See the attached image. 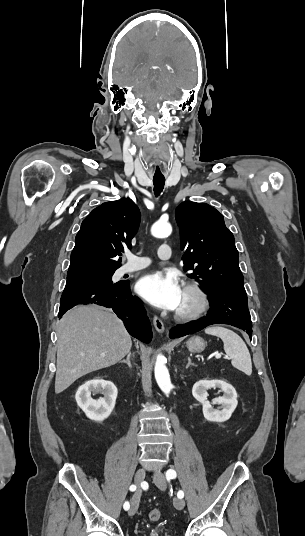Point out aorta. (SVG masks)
I'll list each match as a JSON object with an SVG mask.
<instances>
[{
    "mask_svg": "<svg viewBox=\"0 0 305 536\" xmlns=\"http://www.w3.org/2000/svg\"><path fill=\"white\" fill-rule=\"evenodd\" d=\"M172 232V227L166 222H156L151 227V234L156 238L168 237ZM167 359L162 354H159L155 362V379L160 389L164 394L168 395L172 389L170 375L166 367Z\"/></svg>",
    "mask_w": 305,
    "mask_h": 536,
    "instance_id": "762f6f07",
    "label": "aorta"
}]
</instances>
